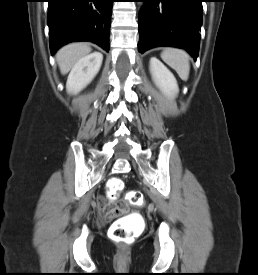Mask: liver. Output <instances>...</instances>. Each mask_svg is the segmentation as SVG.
I'll list each match as a JSON object with an SVG mask.
<instances>
[{
	"mask_svg": "<svg viewBox=\"0 0 258 275\" xmlns=\"http://www.w3.org/2000/svg\"><path fill=\"white\" fill-rule=\"evenodd\" d=\"M91 48L86 43H71L62 47L56 54L60 71L66 74L83 57L88 55Z\"/></svg>",
	"mask_w": 258,
	"mask_h": 275,
	"instance_id": "6515ba94",
	"label": "liver"
}]
</instances>
